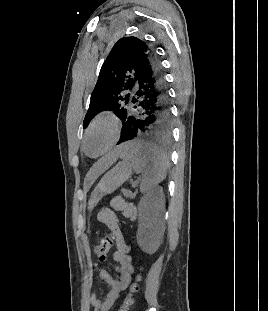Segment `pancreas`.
<instances>
[{
  "mask_svg": "<svg viewBox=\"0 0 268 311\" xmlns=\"http://www.w3.org/2000/svg\"><path fill=\"white\" fill-rule=\"evenodd\" d=\"M121 209L124 210V215L129 217L134 212V206L131 203L122 202Z\"/></svg>",
  "mask_w": 268,
  "mask_h": 311,
  "instance_id": "obj_1",
  "label": "pancreas"
}]
</instances>
